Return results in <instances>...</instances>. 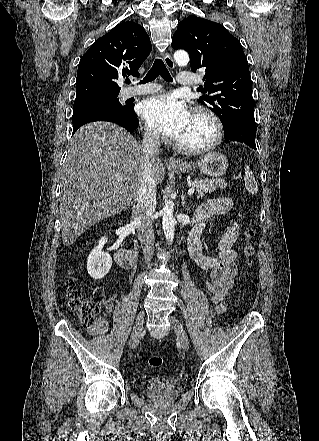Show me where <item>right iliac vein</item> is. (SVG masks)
I'll return each mask as SVG.
<instances>
[{
	"mask_svg": "<svg viewBox=\"0 0 319 441\" xmlns=\"http://www.w3.org/2000/svg\"><path fill=\"white\" fill-rule=\"evenodd\" d=\"M143 324H144V311H140L137 315L131 336H130V340H129V345L130 348H135L140 340V336H141V332L143 329Z\"/></svg>",
	"mask_w": 319,
	"mask_h": 441,
	"instance_id": "63e3f726",
	"label": "right iliac vein"
}]
</instances>
